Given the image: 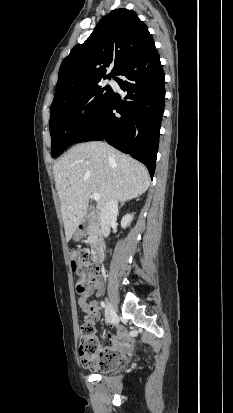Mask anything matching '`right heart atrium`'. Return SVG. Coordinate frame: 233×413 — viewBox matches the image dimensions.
Masks as SVG:
<instances>
[{"instance_id":"obj_1","label":"right heart atrium","mask_w":233,"mask_h":413,"mask_svg":"<svg viewBox=\"0 0 233 413\" xmlns=\"http://www.w3.org/2000/svg\"><path fill=\"white\" fill-rule=\"evenodd\" d=\"M93 108L90 102H83L78 108V117L81 121H88L92 117Z\"/></svg>"}]
</instances>
